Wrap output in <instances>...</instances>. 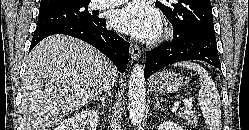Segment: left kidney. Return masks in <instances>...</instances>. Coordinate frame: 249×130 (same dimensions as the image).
Listing matches in <instances>:
<instances>
[{
	"label": "left kidney",
	"mask_w": 249,
	"mask_h": 130,
	"mask_svg": "<svg viewBox=\"0 0 249 130\" xmlns=\"http://www.w3.org/2000/svg\"><path fill=\"white\" fill-rule=\"evenodd\" d=\"M158 130H183V128L171 120H167L160 124Z\"/></svg>",
	"instance_id": "1"
}]
</instances>
